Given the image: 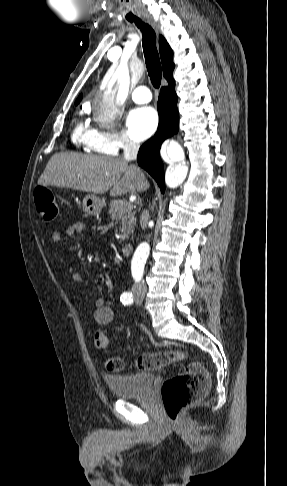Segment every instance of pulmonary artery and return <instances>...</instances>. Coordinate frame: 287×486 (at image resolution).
<instances>
[{
    "instance_id": "1",
    "label": "pulmonary artery",
    "mask_w": 287,
    "mask_h": 486,
    "mask_svg": "<svg viewBox=\"0 0 287 486\" xmlns=\"http://www.w3.org/2000/svg\"><path fill=\"white\" fill-rule=\"evenodd\" d=\"M131 98L136 103H148L151 101V93L146 86H138L131 92Z\"/></svg>"
}]
</instances>
